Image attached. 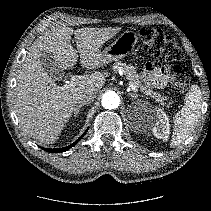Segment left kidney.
<instances>
[{
	"label": "left kidney",
	"instance_id": "5707ae66",
	"mask_svg": "<svg viewBox=\"0 0 211 211\" xmlns=\"http://www.w3.org/2000/svg\"><path fill=\"white\" fill-rule=\"evenodd\" d=\"M152 114V120H144L142 123L148 122L153 135L158 139L168 140L170 134V124L166 113L158 108L154 109Z\"/></svg>",
	"mask_w": 211,
	"mask_h": 211
}]
</instances>
